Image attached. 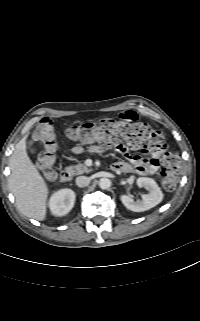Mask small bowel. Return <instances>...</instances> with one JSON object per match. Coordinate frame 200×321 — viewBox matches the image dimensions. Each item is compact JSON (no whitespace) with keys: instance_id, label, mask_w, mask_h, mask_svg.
Here are the masks:
<instances>
[{"instance_id":"obj_1","label":"small bowel","mask_w":200,"mask_h":321,"mask_svg":"<svg viewBox=\"0 0 200 321\" xmlns=\"http://www.w3.org/2000/svg\"><path fill=\"white\" fill-rule=\"evenodd\" d=\"M125 118L136 117L135 112L127 111L123 115ZM77 152L81 151V148L76 149ZM128 158L129 162H118L111 166V169L115 172L122 173H135L141 176L155 174L163 160V151L155 150L150 157H142L139 155H130L126 151L123 152Z\"/></svg>"}]
</instances>
